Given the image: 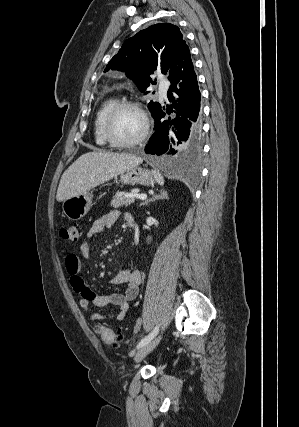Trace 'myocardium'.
Returning a JSON list of instances; mask_svg holds the SVG:
<instances>
[{
  "mask_svg": "<svg viewBox=\"0 0 299 427\" xmlns=\"http://www.w3.org/2000/svg\"><path fill=\"white\" fill-rule=\"evenodd\" d=\"M130 108L137 111L143 120V130L138 137L130 141H121L117 139L113 133V120L117 113L122 109ZM150 121L147 113L142 106L135 101L122 100L118 101L107 113L103 123V135L110 146L115 148H131L142 143L149 135Z\"/></svg>",
  "mask_w": 299,
  "mask_h": 427,
  "instance_id": "1",
  "label": "myocardium"
}]
</instances>
